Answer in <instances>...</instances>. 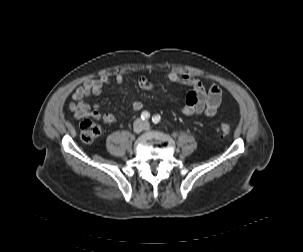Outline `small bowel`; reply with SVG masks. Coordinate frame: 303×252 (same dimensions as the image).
<instances>
[{
    "label": "small bowel",
    "mask_w": 303,
    "mask_h": 252,
    "mask_svg": "<svg viewBox=\"0 0 303 252\" xmlns=\"http://www.w3.org/2000/svg\"><path fill=\"white\" fill-rule=\"evenodd\" d=\"M164 76L173 84L191 89L187 94L185 103L180 109L181 114L184 116L201 114L215 116L217 114L218 108L225 97L223 89L218 84L211 83L209 89L206 90L202 81L197 76L176 71H167ZM124 80L125 74L123 72H119L114 77V81L118 85L123 84ZM111 82L112 77L109 74H103L99 78H89L82 85L76 87L72 93L73 101L68 104L74 118L92 117L104 124L112 123L114 121L112 114H102L98 110V105H91L87 102L88 97L98 94L103 87L110 85ZM138 84L144 90L151 91L154 89V85L147 74H143L138 78ZM141 109V102H133V112H138Z\"/></svg>",
    "instance_id": "small-bowel-1"
}]
</instances>
